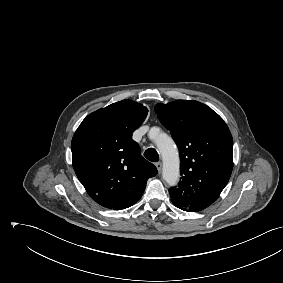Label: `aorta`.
I'll use <instances>...</instances> for the list:
<instances>
[{"label": "aorta", "instance_id": "obj_1", "mask_svg": "<svg viewBox=\"0 0 283 283\" xmlns=\"http://www.w3.org/2000/svg\"><path fill=\"white\" fill-rule=\"evenodd\" d=\"M156 133V136H152ZM150 137L154 139L163 160V178L168 185L174 186L179 179V154L176 144L167 134L161 133L157 128L150 130Z\"/></svg>", "mask_w": 283, "mask_h": 283}]
</instances>
